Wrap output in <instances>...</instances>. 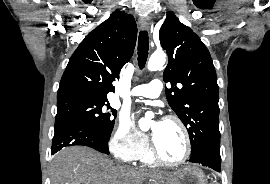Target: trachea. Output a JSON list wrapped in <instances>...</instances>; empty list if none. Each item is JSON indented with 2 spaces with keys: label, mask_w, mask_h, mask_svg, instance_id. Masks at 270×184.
Masks as SVG:
<instances>
[{
  "label": "trachea",
  "mask_w": 270,
  "mask_h": 184,
  "mask_svg": "<svg viewBox=\"0 0 270 184\" xmlns=\"http://www.w3.org/2000/svg\"><path fill=\"white\" fill-rule=\"evenodd\" d=\"M148 48V33L146 31H141L138 38V65L141 69L145 67L148 57Z\"/></svg>",
  "instance_id": "1"
}]
</instances>
